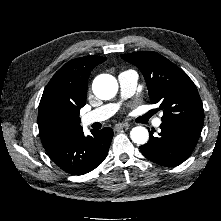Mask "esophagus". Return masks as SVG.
<instances>
[{"label": "esophagus", "instance_id": "34e87169", "mask_svg": "<svg viewBox=\"0 0 221 221\" xmlns=\"http://www.w3.org/2000/svg\"><path fill=\"white\" fill-rule=\"evenodd\" d=\"M129 124L128 123H118L115 125V129L119 130V129H123V128H129Z\"/></svg>", "mask_w": 221, "mask_h": 221}]
</instances>
